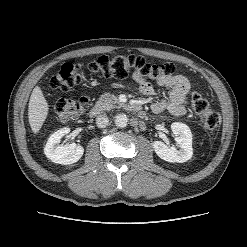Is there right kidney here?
Here are the masks:
<instances>
[{
    "label": "right kidney",
    "instance_id": "ca27d5eb",
    "mask_svg": "<svg viewBox=\"0 0 247 247\" xmlns=\"http://www.w3.org/2000/svg\"><path fill=\"white\" fill-rule=\"evenodd\" d=\"M70 129L65 127L54 132L48 139L44 148V153L52 162L69 165L76 163L83 155L84 148L72 143L69 145H59L60 139L68 134Z\"/></svg>",
    "mask_w": 247,
    "mask_h": 247
}]
</instances>
